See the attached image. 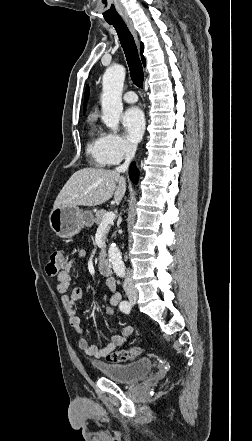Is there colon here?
Instances as JSON below:
<instances>
[{"instance_id": "colon-1", "label": "colon", "mask_w": 252, "mask_h": 441, "mask_svg": "<svg viewBox=\"0 0 252 441\" xmlns=\"http://www.w3.org/2000/svg\"><path fill=\"white\" fill-rule=\"evenodd\" d=\"M68 264V257L63 250H54L49 262L46 265V272L49 275H56L63 271ZM115 307L112 305H105L102 314L106 318L114 316ZM140 354V349L132 347L124 350H117L107 355L106 359L113 363H121L136 358Z\"/></svg>"}]
</instances>
